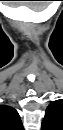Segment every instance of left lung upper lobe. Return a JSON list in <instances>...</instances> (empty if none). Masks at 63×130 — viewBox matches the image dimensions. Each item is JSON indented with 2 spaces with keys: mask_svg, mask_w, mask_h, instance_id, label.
<instances>
[{
  "mask_svg": "<svg viewBox=\"0 0 63 130\" xmlns=\"http://www.w3.org/2000/svg\"><path fill=\"white\" fill-rule=\"evenodd\" d=\"M42 130H63V100H56L47 107Z\"/></svg>",
  "mask_w": 63,
  "mask_h": 130,
  "instance_id": "left-lung-upper-lobe-1",
  "label": "left lung upper lobe"
}]
</instances>
